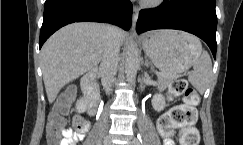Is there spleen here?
Returning a JSON list of instances; mask_svg holds the SVG:
<instances>
[{
    "mask_svg": "<svg viewBox=\"0 0 243 145\" xmlns=\"http://www.w3.org/2000/svg\"><path fill=\"white\" fill-rule=\"evenodd\" d=\"M193 69L194 71L189 74L188 79L197 91L202 94L207 89L212 76V62L208 52L203 51L202 55L195 60Z\"/></svg>",
    "mask_w": 243,
    "mask_h": 145,
    "instance_id": "obj_1",
    "label": "spleen"
}]
</instances>
